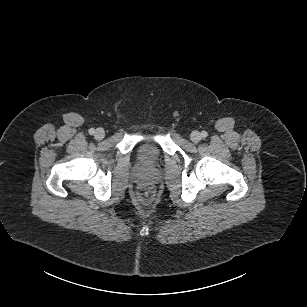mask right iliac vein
Returning a JSON list of instances; mask_svg holds the SVG:
<instances>
[{"label":"right iliac vein","mask_w":307,"mask_h":307,"mask_svg":"<svg viewBox=\"0 0 307 307\" xmlns=\"http://www.w3.org/2000/svg\"><path fill=\"white\" fill-rule=\"evenodd\" d=\"M95 138L97 140H102L105 136V132L102 128H98L96 131H95Z\"/></svg>","instance_id":"obj_1"}]
</instances>
